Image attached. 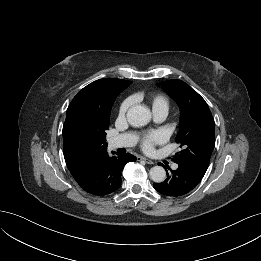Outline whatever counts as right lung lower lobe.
<instances>
[{
	"label": "right lung lower lobe",
	"mask_w": 261,
	"mask_h": 261,
	"mask_svg": "<svg viewBox=\"0 0 261 261\" xmlns=\"http://www.w3.org/2000/svg\"><path fill=\"white\" fill-rule=\"evenodd\" d=\"M135 160L136 158L129 153L110 157L106 150L99 153L72 176L86 192L97 196L107 195L121 186V171L125 164Z\"/></svg>",
	"instance_id": "right-lung-lower-lobe-1"
}]
</instances>
